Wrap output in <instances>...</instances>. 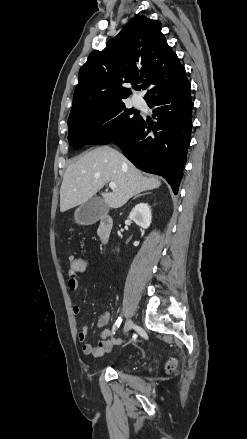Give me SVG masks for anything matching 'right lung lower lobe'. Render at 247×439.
Here are the masks:
<instances>
[{"label":"right lung lower lobe","mask_w":247,"mask_h":439,"mask_svg":"<svg viewBox=\"0 0 247 439\" xmlns=\"http://www.w3.org/2000/svg\"><path fill=\"white\" fill-rule=\"evenodd\" d=\"M146 102L150 108L154 107L156 121L152 123L141 117L114 143L137 168L163 176L177 194L191 140L190 83Z\"/></svg>","instance_id":"obj_1"}]
</instances>
